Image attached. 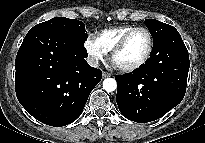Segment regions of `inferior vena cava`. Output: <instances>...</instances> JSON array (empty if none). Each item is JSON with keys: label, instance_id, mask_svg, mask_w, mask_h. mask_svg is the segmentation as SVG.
<instances>
[{"label": "inferior vena cava", "instance_id": "602c4592", "mask_svg": "<svg viewBox=\"0 0 205 143\" xmlns=\"http://www.w3.org/2000/svg\"><path fill=\"white\" fill-rule=\"evenodd\" d=\"M87 63L94 68H97L99 63H98V58L94 57V56H89L87 57Z\"/></svg>", "mask_w": 205, "mask_h": 143}]
</instances>
